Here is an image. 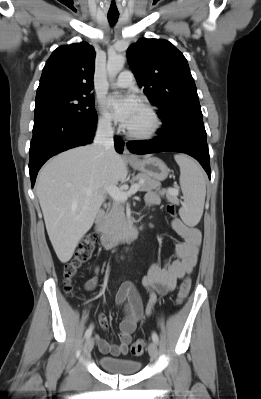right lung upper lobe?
I'll return each instance as SVG.
<instances>
[{
  "instance_id": "1",
  "label": "right lung upper lobe",
  "mask_w": 261,
  "mask_h": 399,
  "mask_svg": "<svg viewBox=\"0 0 261 399\" xmlns=\"http://www.w3.org/2000/svg\"><path fill=\"white\" fill-rule=\"evenodd\" d=\"M95 51L86 42L63 45L53 51L40 78L36 98L55 94L90 95Z\"/></svg>"
}]
</instances>
